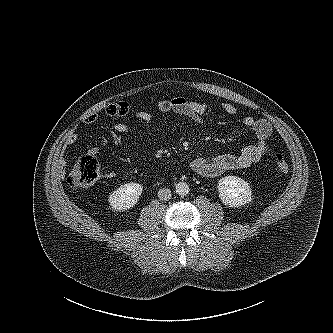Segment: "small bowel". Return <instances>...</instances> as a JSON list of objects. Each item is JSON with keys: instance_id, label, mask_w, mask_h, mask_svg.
<instances>
[{"instance_id": "small-bowel-1", "label": "small bowel", "mask_w": 333, "mask_h": 333, "mask_svg": "<svg viewBox=\"0 0 333 333\" xmlns=\"http://www.w3.org/2000/svg\"><path fill=\"white\" fill-rule=\"evenodd\" d=\"M157 109L163 114L174 113L187 117L195 123H202L204 115L208 111L206 104L191 101L181 96L160 100L157 103ZM221 109L230 116H236L238 113L237 108L228 102L222 103ZM129 110L130 105L126 101L113 103L105 108L106 114L111 117H123ZM135 117L146 125L150 124L153 120V116L147 111H137ZM97 120V114H91L85 118L87 124H93ZM242 122L255 135L256 142L253 145L243 148L239 154L228 153L213 158H196L190 163L191 170L200 176L213 178L227 171L247 168L259 162L270 149L271 124L266 119H255L252 116L243 117ZM112 128L116 133H128L130 131V127L121 122L115 123ZM77 139V135L71 133L66 139V144L74 145ZM92 152L96 153V150ZM106 177L113 178L115 177V173L113 171L108 172Z\"/></svg>"}]
</instances>
